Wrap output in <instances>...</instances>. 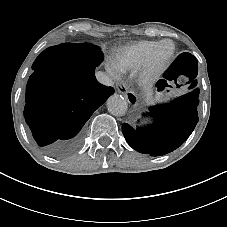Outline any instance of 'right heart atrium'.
Instances as JSON below:
<instances>
[{
	"instance_id": "d8ad5b80",
	"label": "right heart atrium",
	"mask_w": 227,
	"mask_h": 227,
	"mask_svg": "<svg viewBox=\"0 0 227 227\" xmlns=\"http://www.w3.org/2000/svg\"><path fill=\"white\" fill-rule=\"evenodd\" d=\"M107 69L114 78H120L122 75V70L116 65H108Z\"/></svg>"
}]
</instances>
